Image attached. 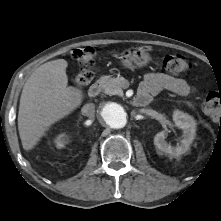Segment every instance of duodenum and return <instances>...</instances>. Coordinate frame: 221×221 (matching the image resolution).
<instances>
[{
	"instance_id": "obj_1",
	"label": "duodenum",
	"mask_w": 221,
	"mask_h": 221,
	"mask_svg": "<svg viewBox=\"0 0 221 221\" xmlns=\"http://www.w3.org/2000/svg\"><path fill=\"white\" fill-rule=\"evenodd\" d=\"M102 84L100 81H96L93 83L89 90L88 94L90 97H97L101 91ZM151 103V96L145 93H139L134 99H133V104L138 107H143L147 106L148 104Z\"/></svg>"
}]
</instances>
